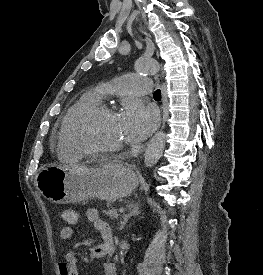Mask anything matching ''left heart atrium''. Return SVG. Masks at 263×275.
<instances>
[{"mask_svg": "<svg viewBox=\"0 0 263 275\" xmlns=\"http://www.w3.org/2000/svg\"><path fill=\"white\" fill-rule=\"evenodd\" d=\"M122 128L131 143L144 140L154 129L156 116L137 101L129 103L120 115Z\"/></svg>", "mask_w": 263, "mask_h": 275, "instance_id": "1", "label": "left heart atrium"}]
</instances>
